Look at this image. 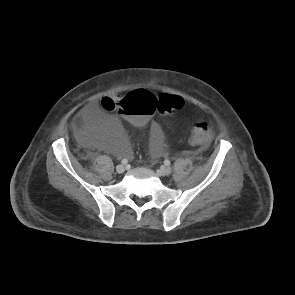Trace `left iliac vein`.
Here are the masks:
<instances>
[{
    "label": "left iliac vein",
    "mask_w": 295,
    "mask_h": 295,
    "mask_svg": "<svg viewBox=\"0 0 295 295\" xmlns=\"http://www.w3.org/2000/svg\"><path fill=\"white\" fill-rule=\"evenodd\" d=\"M161 172L163 175H170L172 173V169L170 167H164Z\"/></svg>",
    "instance_id": "obj_1"
}]
</instances>
